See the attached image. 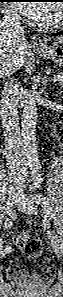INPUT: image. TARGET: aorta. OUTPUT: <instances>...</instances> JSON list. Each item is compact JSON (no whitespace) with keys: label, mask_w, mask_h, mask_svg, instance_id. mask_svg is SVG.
I'll list each match as a JSON object with an SVG mask.
<instances>
[{"label":"aorta","mask_w":63,"mask_h":297,"mask_svg":"<svg viewBox=\"0 0 63 297\" xmlns=\"http://www.w3.org/2000/svg\"><path fill=\"white\" fill-rule=\"evenodd\" d=\"M37 105L35 100L25 101L22 121L21 135L23 142V151L32 166L38 165V154L36 145V124H37Z\"/></svg>","instance_id":"1"}]
</instances>
